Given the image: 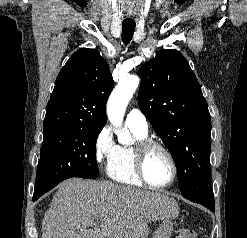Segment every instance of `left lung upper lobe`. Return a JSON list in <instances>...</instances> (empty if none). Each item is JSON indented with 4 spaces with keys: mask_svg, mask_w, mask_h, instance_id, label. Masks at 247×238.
Instances as JSON below:
<instances>
[{
    "mask_svg": "<svg viewBox=\"0 0 247 238\" xmlns=\"http://www.w3.org/2000/svg\"><path fill=\"white\" fill-rule=\"evenodd\" d=\"M138 103L177 166L182 195L214 210L211 117L186 58L164 49L139 70Z\"/></svg>",
    "mask_w": 247,
    "mask_h": 238,
    "instance_id": "left-lung-upper-lobe-1",
    "label": "left lung upper lobe"
}]
</instances>
